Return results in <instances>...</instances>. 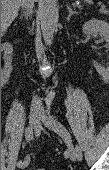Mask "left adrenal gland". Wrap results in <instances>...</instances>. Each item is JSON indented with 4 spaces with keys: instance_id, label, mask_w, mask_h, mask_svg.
<instances>
[{
    "instance_id": "a2214340",
    "label": "left adrenal gland",
    "mask_w": 109,
    "mask_h": 170,
    "mask_svg": "<svg viewBox=\"0 0 109 170\" xmlns=\"http://www.w3.org/2000/svg\"><path fill=\"white\" fill-rule=\"evenodd\" d=\"M67 9H68V12H69L68 16H67V21H70V17L72 15L79 13L78 11H74L69 4L67 5Z\"/></svg>"
}]
</instances>
